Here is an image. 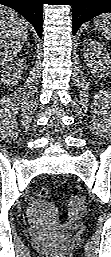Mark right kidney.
Here are the masks:
<instances>
[{"label": "right kidney", "instance_id": "1", "mask_svg": "<svg viewBox=\"0 0 111 257\" xmlns=\"http://www.w3.org/2000/svg\"><path fill=\"white\" fill-rule=\"evenodd\" d=\"M23 59H20L16 62H12L6 66L2 73V81L5 84H15L18 83V80L21 78V73L23 69Z\"/></svg>", "mask_w": 111, "mask_h": 257}]
</instances>
